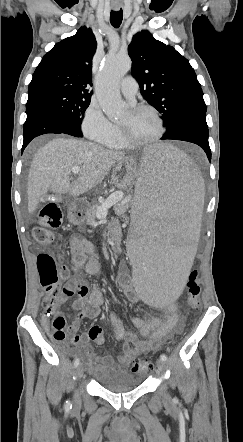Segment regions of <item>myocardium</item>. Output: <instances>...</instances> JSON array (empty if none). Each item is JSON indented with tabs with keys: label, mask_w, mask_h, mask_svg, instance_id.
<instances>
[{
	"label": "myocardium",
	"mask_w": 243,
	"mask_h": 442,
	"mask_svg": "<svg viewBox=\"0 0 243 442\" xmlns=\"http://www.w3.org/2000/svg\"><path fill=\"white\" fill-rule=\"evenodd\" d=\"M130 110L133 113H140V112H143V111H150V112H152L154 114L157 122H158V132L151 139L144 140V141H134V140L130 139V137L128 136L125 127L119 124V127H118V129H119V136H120V139H121V141L123 142V144L125 146H128V147H145V146H149V145H152V144L156 143L157 141H159L163 137V135L165 133L164 121L162 119V116H161L160 112L155 107H153L151 105L141 104V105L133 106Z\"/></svg>",
	"instance_id": "f54148a6"
}]
</instances>
